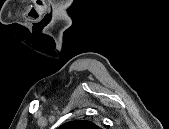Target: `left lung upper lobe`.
Listing matches in <instances>:
<instances>
[{"instance_id":"5c2ea615","label":"left lung upper lobe","mask_w":169,"mask_h":129,"mask_svg":"<svg viewBox=\"0 0 169 129\" xmlns=\"http://www.w3.org/2000/svg\"><path fill=\"white\" fill-rule=\"evenodd\" d=\"M60 129H99V127L90 121L76 120L61 125Z\"/></svg>"}]
</instances>
